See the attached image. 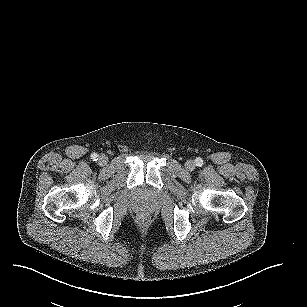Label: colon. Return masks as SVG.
<instances>
[{"label": "colon", "mask_w": 307, "mask_h": 307, "mask_svg": "<svg viewBox=\"0 0 307 307\" xmlns=\"http://www.w3.org/2000/svg\"><path fill=\"white\" fill-rule=\"evenodd\" d=\"M140 219H141L142 222L145 221V217L144 216H142Z\"/></svg>", "instance_id": "5ec220e1"}]
</instances>
